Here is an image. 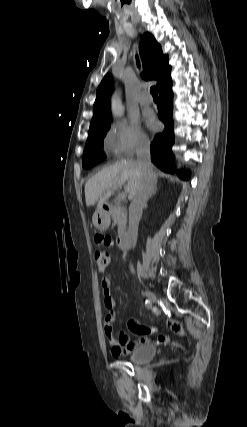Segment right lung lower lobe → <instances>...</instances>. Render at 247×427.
I'll return each instance as SVG.
<instances>
[{
  "label": "right lung lower lobe",
  "instance_id": "obj_1",
  "mask_svg": "<svg viewBox=\"0 0 247 427\" xmlns=\"http://www.w3.org/2000/svg\"><path fill=\"white\" fill-rule=\"evenodd\" d=\"M159 101L157 105L158 116L165 124V129L161 134L156 135L151 143V160L161 170L171 172L174 164V156L171 151V147L174 143L172 118L173 92L171 80L159 89ZM180 176L188 179L190 177V172L183 171Z\"/></svg>",
  "mask_w": 247,
  "mask_h": 427
}]
</instances>
